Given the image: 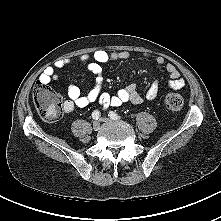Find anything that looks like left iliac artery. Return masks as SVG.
<instances>
[{
    "label": "left iliac artery",
    "mask_w": 221,
    "mask_h": 221,
    "mask_svg": "<svg viewBox=\"0 0 221 221\" xmlns=\"http://www.w3.org/2000/svg\"><path fill=\"white\" fill-rule=\"evenodd\" d=\"M108 116H110L112 119H120V116L113 111H110Z\"/></svg>",
    "instance_id": "44dca946"
}]
</instances>
